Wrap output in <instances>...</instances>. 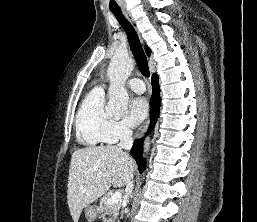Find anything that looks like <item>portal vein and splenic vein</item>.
<instances>
[{"mask_svg":"<svg viewBox=\"0 0 257 222\" xmlns=\"http://www.w3.org/2000/svg\"><path fill=\"white\" fill-rule=\"evenodd\" d=\"M120 200H121V193L115 192L107 199V203L114 204V203H118Z\"/></svg>","mask_w":257,"mask_h":222,"instance_id":"obj_1","label":"portal vein and splenic vein"}]
</instances>
